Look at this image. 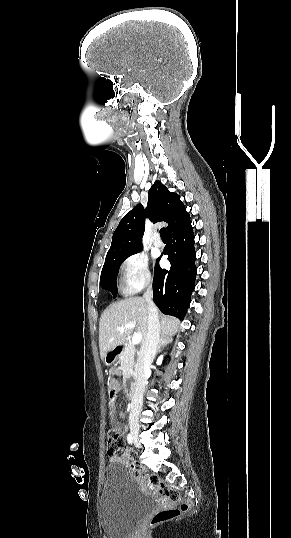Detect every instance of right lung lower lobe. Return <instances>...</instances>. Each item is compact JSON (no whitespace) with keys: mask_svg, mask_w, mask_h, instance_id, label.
Instances as JSON below:
<instances>
[{"mask_svg":"<svg viewBox=\"0 0 291 538\" xmlns=\"http://www.w3.org/2000/svg\"><path fill=\"white\" fill-rule=\"evenodd\" d=\"M167 238L164 254L168 255L171 267L169 270L161 269L160 258L157 259L153 300L163 313L183 319L190 305L197 273L191 221L168 233Z\"/></svg>","mask_w":291,"mask_h":538,"instance_id":"98d812e1","label":"right lung lower lobe"}]
</instances>
